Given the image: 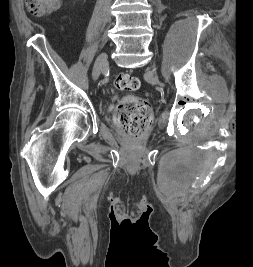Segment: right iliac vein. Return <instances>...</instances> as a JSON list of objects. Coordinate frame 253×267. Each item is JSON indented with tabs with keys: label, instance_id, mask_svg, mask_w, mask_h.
<instances>
[{
	"label": "right iliac vein",
	"instance_id": "63e3f726",
	"mask_svg": "<svg viewBox=\"0 0 253 267\" xmlns=\"http://www.w3.org/2000/svg\"><path fill=\"white\" fill-rule=\"evenodd\" d=\"M108 61V56L106 53L100 54L95 62L94 69H93V78L96 80L102 70L106 67Z\"/></svg>",
	"mask_w": 253,
	"mask_h": 267
}]
</instances>
